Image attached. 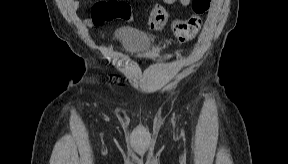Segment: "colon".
<instances>
[{
	"label": "colon",
	"instance_id": "1",
	"mask_svg": "<svg viewBox=\"0 0 288 164\" xmlns=\"http://www.w3.org/2000/svg\"><path fill=\"white\" fill-rule=\"evenodd\" d=\"M209 6L210 0H196L192 7L196 13H203ZM130 14L131 11L126 3L112 0H99L91 9V19L96 25H102L118 18L127 19ZM148 25L153 31H159L167 25H172L176 39L186 42L197 36L202 28L203 20L200 15L193 14L184 21L174 22L166 8L154 5L148 16Z\"/></svg>",
	"mask_w": 288,
	"mask_h": 164
}]
</instances>
